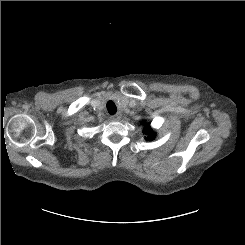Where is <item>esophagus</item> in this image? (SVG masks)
I'll return each instance as SVG.
<instances>
[{"label":"esophagus","mask_w":245,"mask_h":245,"mask_svg":"<svg viewBox=\"0 0 245 245\" xmlns=\"http://www.w3.org/2000/svg\"><path fill=\"white\" fill-rule=\"evenodd\" d=\"M122 115L120 113H117L113 116L110 117L111 120L113 121H119L121 119Z\"/></svg>","instance_id":"obj_1"}]
</instances>
